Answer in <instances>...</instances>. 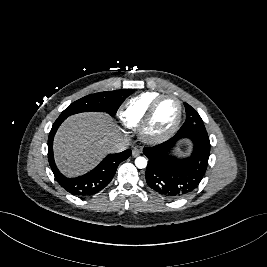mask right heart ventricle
Wrapping results in <instances>:
<instances>
[{"mask_svg":"<svg viewBox=\"0 0 267 267\" xmlns=\"http://www.w3.org/2000/svg\"><path fill=\"white\" fill-rule=\"evenodd\" d=\"M162 93L143 92L127 100L120 111V118L130 128H138L149 105Z\"/></svg>","mask_w":267,"mask_h":267,"instance_id":"1","label":"right heart ventricle"}]
</instances>
